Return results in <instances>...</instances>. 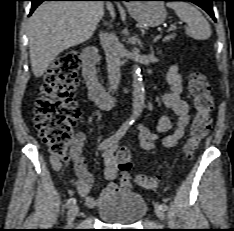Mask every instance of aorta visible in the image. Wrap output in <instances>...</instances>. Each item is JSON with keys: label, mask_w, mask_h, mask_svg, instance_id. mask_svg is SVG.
Here are the masks:
<instances>
[{"label": "aorta", "mask_w": 234, "mask_h": 231, "mask_svg": "<svg viewBox=\"0 0 234 231\" xmlns=\"http://www.w3.org/2000/svg\"><path fill=\"white\" fill-rule=\"evenodd\" d=\"M133 102H132V115L131 120L137 119L144 108V102H145V89L144 84L142 80V75L140 68L137 67V65H134L133 69Z\"/></svg>", "instance_id": "obj_1"}]
</instances>
